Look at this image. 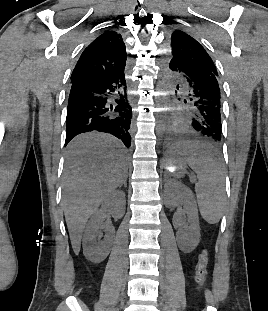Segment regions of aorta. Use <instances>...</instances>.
I'll return each instance as SVG.
<instances>
[{
  "instance_id": "1",
  "label": "aorta",
  "mask_w": 268,
  "mask_h": 311,
  "mask_svg": "<svg viewBox=\"0 0 268 311\" xmlns=\"http://www.w3.org/2000/svg\"><path fill=\"white\" fill-rule=\"evenodd\" d=\"M163 77V74H160ZM155 110H156V124L158 127V133L163 132V127L165 124V99H166V88L164 87L163 79L155 80Z\"/></svg>"
}]
</instances>
